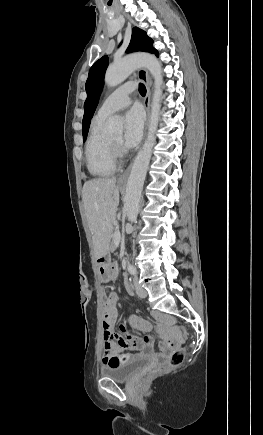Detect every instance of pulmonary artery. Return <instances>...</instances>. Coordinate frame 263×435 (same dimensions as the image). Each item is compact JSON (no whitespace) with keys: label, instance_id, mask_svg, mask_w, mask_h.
Listing matches in <instances>:
<instances>
[{"label":"pulmonary artery","instance_id":"obj_1","mask_svg":"<svg viewBox=\"0 0 263 435\" xmlns=\"http://www.w3.org/2000/svg\"><path fill=\"white\" fill-rule=\"evenodd\" d=\"M133 83H126L113 91L101 104L97 116L106 118L109 115L126 108L130 102V94L134 91Z\"/></svg>","mask_w":263,"mask_h":435}]
</instances>
